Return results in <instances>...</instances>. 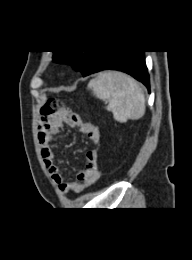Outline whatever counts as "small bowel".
<instances>
[{"label":"small bowel","mask_w":192,"mask_h":260,"mask_svg":"<svg viewBox=\"0 0 192 260\" xmlns=\"http://www.w3.org/2000/svg\"><path fill=\"white\" fill-rule=\"evenodd\" d=\"M63 124L80 128L81 132L88 136L94 143L99 142L100 131L93 123L83 122L78 114L70 110L62 116L50 119L42 118L39 123L38 139L41 147V155L44 165L53 181L64 194L70 191L80 194L91 187L99 178L98 152L95 149L87 151L85 168L77 173L75 181H67L60 167L55 163L56 155L52 145L54 136L59 132Z\"/></svg>","instance_id":"obj_1"}]
</instances>
